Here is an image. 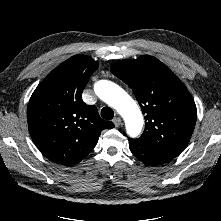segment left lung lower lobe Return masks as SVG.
Returning <instances> with one entry per match:
<instances>
[{
  "label": "left lung lower lobe",
  "mask_w": 221,
  "mask_h": 221,
  "mask_svg": "<svg viewBox=\"0 0 221 221\" xmlns=\"http://www.w3.org/2000/svg\"><path fill=\"white\" fill-rule=\"evenodd\" d=\"M129 148L136 158L148 166H156L167 163L175 158L169 154L153 149L151 146L139 141L138 139L129 138Z\"/></svg>",
  "instance_id": "left-lung-lower-lobe-1"
}]
</instances>
